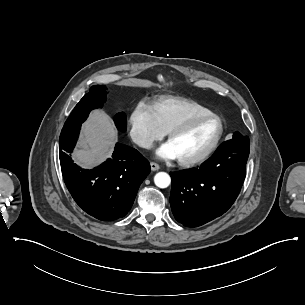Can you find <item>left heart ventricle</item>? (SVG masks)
Returning <instances> with one entry per match:
<instances>
[{"instance_id": "b2bd125f", "label": "left heart ventricle", "mask_w": 305, "mask_h": 305, "mask_svg": "<svg viewBox=\"0 0 305 305\" xmlns=\"http://www.w3.org/2000/svg\"><path fill=\"white\" fill-rule=\"evenodd\" d=\"M221 123L217 118L196 123L170 141L178 158H192L203 153L217 139Z\"/></svg>"}]
</instances>
